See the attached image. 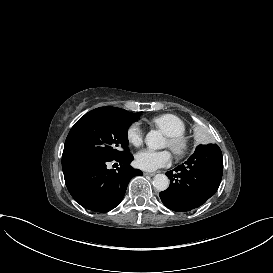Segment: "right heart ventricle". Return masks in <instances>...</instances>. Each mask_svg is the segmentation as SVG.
Segmentation results:
<instances>
[{
  "label": "right heart ventricle",
  "mask_w": 273,
  "mask_h": 273,
  "mask_svg": "<svg viewBox=\"0 0 273 273\" xmlns=\"http://www.w3.org/2000/svg\"><path fill=\"white\" fill-rule=\"evenodd\" d=\"M149 123L158 128H162L168 136L183 135L186 130L185 121L173 113L154 116Z\"/></svg>",
  "instance_id": "obj_1"
}]
</instances>
